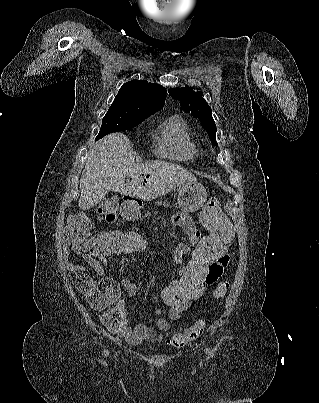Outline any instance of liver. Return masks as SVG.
Segmentation results:
<instances>
[{
	"mask_svg": "<svg viewBox=\"0 0 319 403\" xmlns=\"http://www.w3.org/2000/svg\"><path fill=\"white\" fill-rule=\"evenodd\" d=\"M130 139L112 133L99 140L90 151L80 178L81 210L101 202L109 191L140 200H154L171 192L180 184L197 181L184 168L165 161H135ZM131 181L125 184V178Z\"/></svg>",
	"mask_w": 319,
	"mask_h": 403,
	"instance_id": "1",
	"label": "liver"
}]
</instances>
